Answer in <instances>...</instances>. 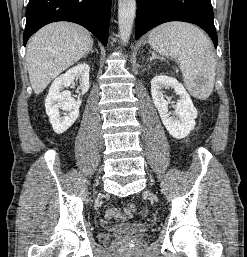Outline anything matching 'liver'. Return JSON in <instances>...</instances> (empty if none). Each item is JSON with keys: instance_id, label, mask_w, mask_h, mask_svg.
<instances>
[{"instance_id": "6515ba94", "label": "liver", "mask_w": 247, "mask_h": 257, "mask_svg": "<svg viewBox=\"0 0 247 257\" xmlns=\"http://www.w3.org/2000/svg\"><path fill=\"white\" fill-rule=\"evenodd\" d=\"M92 45L89 31L75 23L55 22L36 32L26 53L34 93L43 92L54 78L79 61Z\"/></svg>"}]
</instances>
